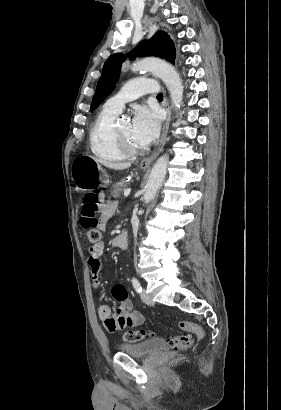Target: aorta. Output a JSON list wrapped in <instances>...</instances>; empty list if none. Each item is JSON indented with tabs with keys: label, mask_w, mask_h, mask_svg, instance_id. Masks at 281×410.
<instances>
[{
	"label": "aorta",
	"mask_w": 281,
	"mask_h": 410,
	"mask_svg": "<svg viewBox=\"0 0 281 410\" xmlns=\"http://www.w3.org/2000/svg\"><path fill=\"white\" fill-rule=\"evenodd\" d=\"M131 70L133 72L151 71L153 74L161 78L169 90L175 111L177 112L181 108L183 87L179 74L175 71L172 65L159 59L147 58L134 63ZM168 161V156L163 155L154 164L145 187V193L143 196L145 204H148L155 198L156 193L166 176Z\"/></svg>",
	"instance_id": "obj_1"
}]
</instances>
